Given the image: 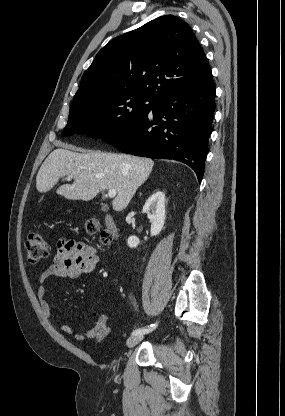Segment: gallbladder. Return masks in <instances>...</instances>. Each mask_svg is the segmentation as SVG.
<instances>
[{
	"label": "gallbladder",
	"instance_id": "bac80fb5",
	"mask_svg": "<svg viewBox=\"0 0 285 416\" xmlns=\"http://www.w3.org/2000/svg\"><path fill=\"white\" fill-rule=\"evenodd\" d=\"M101 210H102V212H108L109 208H108V206H106V204H104V206H102Z\"/></svg>",
	"mask_w": 285,
	"mask_h": 416
}]
</instances>
